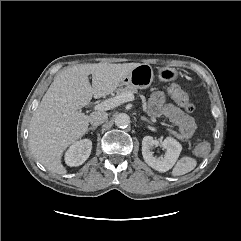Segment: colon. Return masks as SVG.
<instances>
[{
    "label": "colon",
    "mask_w": 241,
    "mask_h": 241,
    "mask_svg": "<svg viewBox=\"0 0 241 241\" xmlns=\"http://www.w3.org/2000/svg\"><path fill=\"white\" fill-rule=\"evenodd\" d=\"M168 94L173 100L187 112H193L194 105L190 102L189 97L178 85H171L168 88ZM210 146L207 142H201L195 147L196 155L204 157L208 154Z\"/></svg>",
    "instance_id": "obj_1"
}]
</instances>
